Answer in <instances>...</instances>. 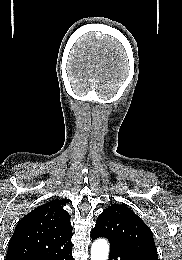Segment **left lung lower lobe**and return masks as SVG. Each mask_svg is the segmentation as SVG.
I'll return each instance as SVG.
<instances>
[{"label": "left lung lower lobe", "mask_w": 182, "mask_h": 260, "mask_svg": "<svg viewBox=\"0 0 182 260\" xmlns=\"http://www.w3.org/2000/svg\"><path fill=\"white\" fill-rule=\"evenodd\" d=\"M98 237H102V236L91 234L92 240ZM110 246L111 247H110L109 260H156L144 253L131 251L129 249L121 248L113 244H110Z\"/></svg>", "instance_id": "0a47b994"}]
</instances>
